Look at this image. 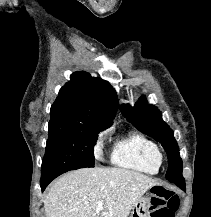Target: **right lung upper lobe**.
I'll use <instances>...</instances> for the list:
<instances>
[{
  "mask_svg": "<svg viewBox=\"0 0 211 217\" xmlns=\"http://www.w3.org/2000/svg\"><path fill=\"white\" fill-rule=\"evenodd\" d=\"M118 108L115 90L100 78L81 71L59 91L50 109V121H71L111 126Z\"/></svg>",
  "mask_w": 211,
  "mask_h": 217,
  "instance_id": "obj_1",
  "label": "right lung upper lobe"
}]
</instances>
